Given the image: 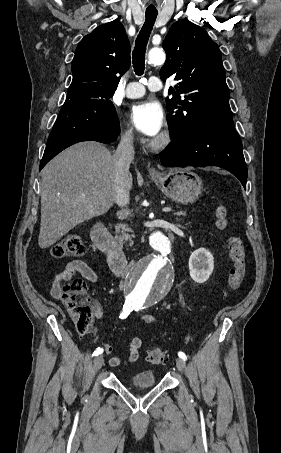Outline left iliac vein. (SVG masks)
<instances>
[{"label":"left iliac vein","instance_id":"left-iliac-vein-1","mask_svg":"<svg viewBox=\"0 0 281 453\" xmlns=\"http://www.w3.org/2000/svg\"><path fill=\"white\" fill-rule=\"evenodd\" d=\"M176 367L182 372L185 373L187 371V368L185 366V362L181 357L176 358Z\"/></svg>","mask_w":281,"mask_h":453}]
</instances>
